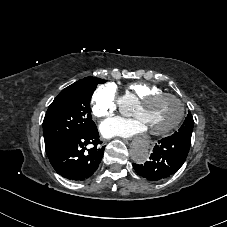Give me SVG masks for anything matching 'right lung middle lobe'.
<instances>
[{
    "instance_id": "1",
    "label": "right lung middle lobe",
    "mask_w": 227,
    "mask_h": 227,
    "mask_svg": "<svg viewBox=\"0 0 227 227\" xmlns=\"http://www.w3.org/2000/svg\"><path fill=\"white\" fill-rule=\"evenodd\" d=\"M104 82L99 78L86 77L60 92L48 107L43 121L45 146L63 136L95 126L90 100L97 85Z\"/></svg>"
}]
</instances>
